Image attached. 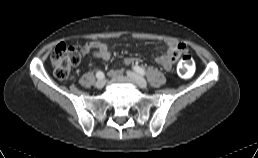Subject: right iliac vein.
I'll return each instance as SVG.
<instances>
[{"label":"right iliac vein","mask_w":258,"mask_h":158,"mask_svg":"<svg viewBox=\"0 0 258 158\" xmlns=\"http://www.w3.org/2000/svg\"><path fill=\"white\" fill-rule=\"evenodd\" d=\"M104 85H105V80H103V79H99L95 84L96 88H98V89H102L104 87Z\"/></svg>","instance_id":"63e3f726"}]
</instances>
